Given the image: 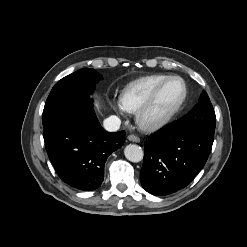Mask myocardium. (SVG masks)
Instances as JSON below:
<instances>
[{"label": "myocardium", "instance_id": "f54148a6", "mask_svg": "<svg viewBox=\"0 0 247 247\" xmlns=\"http://www.w3.org/2000/svg\"><path fill=\"white\" fill-rule=\"evenodd\" d=\"M172 80H179L183 84L184 91L181 99L176 104V106L166 114L156 118L149 117V112L153 104L155 103L159 93L161 92L163 87ZM187 96H188V87L183 78H181L180 76L167 77L159 85H157V87L152 91V93L145 100V102L136 111V122L138 126L142 130L148 132L156 131L163 128L164 126L169 124L172 121V119L179 113V111L181 110L187 99Z\"/></svg>", "mask_w": 247, "mask_h": 247}]
</instances>
